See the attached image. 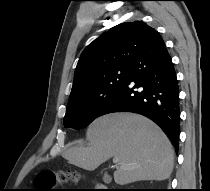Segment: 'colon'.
<instances>
[{
	"label": "colon",
	"instance_id": "obj_1",
	"mask_svg": "<svg viewBox=\"0 0 210 191\" xmlns=\"http://www.w3.org/2000/svg\"><path fill=\"white\" fill-rule=\"evenodd\" d=\"M75 178L71 173L65 171L47 172L40 174L35 181V189L32 191H68L59 190L57 185Z\"/></svg>",
	"mask_w": 210,
	"mask_h": 191
}]
</instances>
